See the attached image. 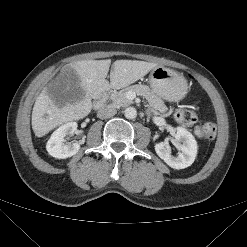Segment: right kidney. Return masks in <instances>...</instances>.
I'll list each match as a JSON object with an SVG mask.
<instances>
[{"mask_svg": "<svg viewBox=\"0 0 247 247\" xmlns=\"http://www.w3.org/2000/svg\"><path fill=\"white\" fill-rule=\"evenodd\" d=\"M76 130V122H68L55 130L46 145L48 153L58 159H65L75 155L80 149V144L78 142L65 144L64 138L68 135H73Z\"/></svg>", "mask_w": 247, "mask_h": 247, "instance_id": "1", "label": "right kidney"}]
</instances>
